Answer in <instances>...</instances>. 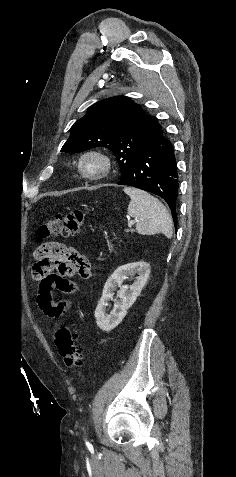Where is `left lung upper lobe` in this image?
<instances>
[{
    "instance_id": "1",
    "label": "left lung upper lobe",
    "mask_w": 236,
    "mask_h": 477,
    "mask_svg": "<svg viewBox=\"0 0 236 477\" xmlns=\"http://www.w3.org/2000/svg\"><path fill=\"white\" fill-rule=\"evenodd\" d=\"M159 129L153 116L125 96H115L89 107L76 121L61 152L77 153L94 147L111 150L123 179L134 157L143 150Z\"/></svg>"
}]
</instances>
